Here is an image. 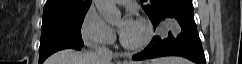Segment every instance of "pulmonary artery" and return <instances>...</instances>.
I'll list each match as a JSON object with an SVG mask.
<instances>
[{"mask_svg":"<svg viewBox=\"0 0 242 64\" xmlns=\"http://www.w3.org/2000/svg\"><path fill=\"white\" fill-rule=\"evenodd\" d=\"M117 3L119 4H124V3H127L129 2L128 0H116Z\"/></svg>","mask_w":242,"mask_h":64,"instance_id":"pulmonary-artery-1","label":"pulmonary artery"}]
</instances>
